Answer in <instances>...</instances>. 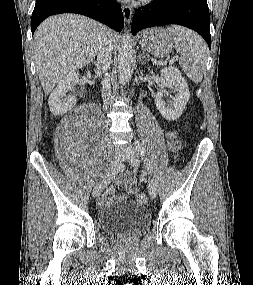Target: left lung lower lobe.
<instances>
[{"label": "left lung lower lobe", "instance_id": "obj_1", "mask_svg": "<svg viewBox=\"0 0 253 285\" xmlns=\"http://www.w3.org/2000/svg\"><path fill=\"white\" fill-rule=\"evenodd\" d=\"M178 24L198 32L211 47L210 14L207 0H160L136 10L132 34L153 26Z\"/></svg>", "mask_w": 253, "mask_h": 285}]
</instances>
